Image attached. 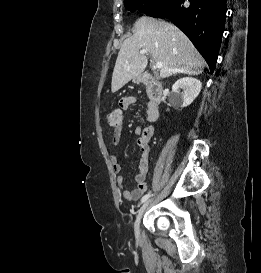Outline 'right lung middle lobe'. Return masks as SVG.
I'll list each match as a JSON object with an SVG mask.
<instances>
[{"instance_id":"1","label":"right lung middle lobe","mask_w":261,"mask_h":273,"mask_svg":"<svg viewBox=\"0 0 261 273\" xmlns=\"http://www.w3.org/2000/svg\"><path fill=\"white\" fill-rule=\"evenodd\" d=\"M172 1L173 0H124V3L126 10L131 12L139 10L148 16H152Z\"/></svg>"}]
</instances>
